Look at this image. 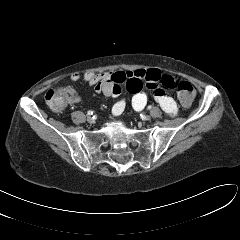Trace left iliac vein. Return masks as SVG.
I'll return each instance as SVG.
<instances>
[{"label": "left iliac vein", "instance_id": "1", "mask_svg": "<svg viewBox=\"0 0 240 240\" xmlns=\"http://www.w3.org/2000/svg\"><path fill=\"white\" fill-rule=\"evenodd\" d=\"M143 120H144V121H149V120H151V117H150L149 115H145V116L143 117Z\"/></svg>", "mask_w": 240, "mask_h": 240}]
</instances>
